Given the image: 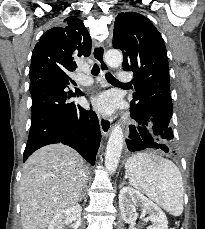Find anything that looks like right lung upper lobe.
Here are the masks:
<instances>
[{"mask_svg": "<svg viewBox=\"0 0 205 229\" xmlns=\"http://www.w3.org/2000/svg\"><path fill=\"white\" fill-rule=\"evenodd\" d=\"M92 41L83 22L76 17H67L62 27L46 31L36 44L31 58V83L56 75H67L77 68L79 57L91 53ZM55 78V77H54Z\"/></svg>", "mask_w": 205, "mask_h": 229, "instance_id": "right-lung-upper-lobe-1", "label": "right lung upper lobe"}]
</instances>
